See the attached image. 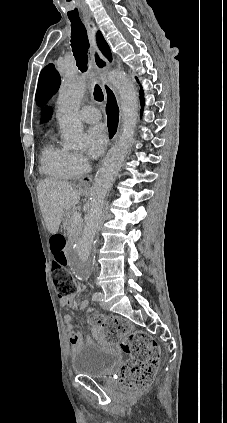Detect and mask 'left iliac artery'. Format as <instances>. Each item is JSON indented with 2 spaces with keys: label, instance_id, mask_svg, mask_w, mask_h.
<instances>
[{
  "label": "left iliac artery",
  "instance_id": "left-iliac-artery-1",
  "mask_svg": "<svg viewBox=\"0 0 227 423\" xmlns=\"http://www.w3.org/2000/svg\"><path fill=\"white\" fill-rule=\"evenodd\" d=\"M92 300L93 301L101 300V293H98V292L93 293Z\"/></svg>",
  "mask_w": 227,
  "mask_h": 423
}]
</instances>
